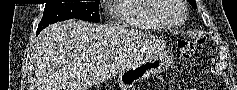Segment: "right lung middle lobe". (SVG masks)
Instances as JSON below:
<instances>
[{
	"instance_id": "right-lung-middle-lobe-1",
	"label": "right lung middle lobe",
	"mask_w": 237,
	"mask_h": 90,
	"mask_svg": "<svg viewBox=\"0 0 237 90\" xmlns=\"http://www.w3.org/2000/svg\"><path fill=\"white\" fill-rule=\"evenodd\" d=\"M99 3L98 0L87 3L46 4L43 17L38 25L37 34L50 24L73 18L98 23L100 21Z\"/></svg>"
}]
</instances>
